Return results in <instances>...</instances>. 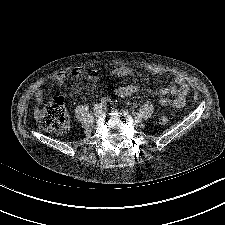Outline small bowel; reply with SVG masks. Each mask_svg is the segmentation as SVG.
Returning <instances> with one entry per match:
<instances>
[{
	"instance_id": "1",
	"label": "small bowel",
	"mask_w": 225,
	"mask_h": 225,
	"mask_svg": "<svg viewBox=\"0 0 225 225\" xmlns=\"http://www.w3.org/2000/svg\"><path fill=\"white\" fill-rule=\"evenodd\" d=\"M152 73L154 74H160L161 71L158 69L152 70ZM131 74V69L126 66H120L115 68L112 71V75L114 77H125ZM71 76L72 78H85L89 81H96L99 78V74L95 70H88V69H82V68H71L68 71L60 70L55 72L49 79V82L54 83V84H62L66 81L67 77ZM175 81L178 86H170V87H163L160 89V94L162 96L167 95V94H172L174 95L173 100H168L164 97L160 99V103L163 106H173L176 108H181L184 106L186 102V97L189 92V88L184 80L183 77L177 76L175 78ZM137 91V87L135 85L129 84V85H124L116 88L115 93L119 97H128L135 93ZM34 97L38 102H41L44 97V91L42 87H38L34 91ZM37 112V117H38Z\"/></svg>"
}]
</instances>
